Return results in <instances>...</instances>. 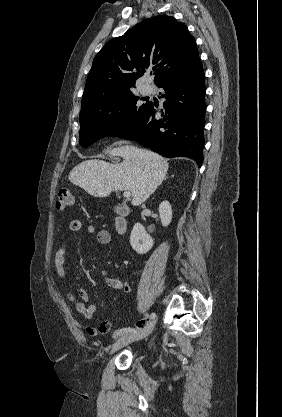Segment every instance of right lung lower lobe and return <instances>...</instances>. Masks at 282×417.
<instances>
[{
	"label": "right lung lower lobe",
	"mask_w": 282,
	"mask_h": 417,
	"mask_svg": "<svg viewBox=\"0 0 282 417\" xmlns=\"http://www.w3.org/2000/svg\"><path fill=\"white\" fill-rule=\"evenodd\" d=\"M205 73L201 60L163 79L165 116L156 119V109L148 103L132 127L117 137L138 141L167 157H189L200 167L203 162L205 125Z\"/></svg>",
	"instance_id": "98d812e1"
}]
</instances>
